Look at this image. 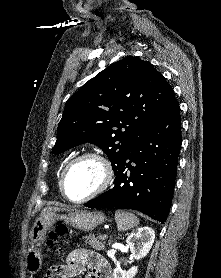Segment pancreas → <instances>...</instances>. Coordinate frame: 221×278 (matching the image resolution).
<instances>
[{
  "label": "pancreas",
  "instance_id": "obj_1",
  "mask_svg": "<svg viewBox=\"0 0 221 278\" xmlns=\"http://www.w3.org/2000/svg\"><path fill=\"white\" fill-rule=\"evenodd\" d=\"M84 238L86 240V243H89L91 247L96 250H103L105 248V236L99 235L96 237L95 235H88Z\"/></svg>",
  "mask_w": 221,
  "mask_h": 278
}]
</instances>
